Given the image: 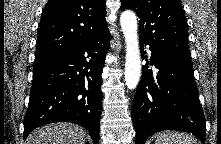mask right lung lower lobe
Returning <instances> with one entry per match:
<instances>
[{
	"label": "right lung lower lobe",
	"instance_id": "1",
	"mask_svg": "<svg viewBox=\"0 0 221 144\" xmlns=\"http://www.w3.org/2000/svg\"><path fill=\"white\" fill-rule=\"evenodd\" d=\"M109 40L106 30L34 66L24 138L42 125L72 122L86 128L94 144L99 143L101 72Z\"/></svg>",
	"mask_w": 221,
	"mask_h": 144
}]
</instances>
